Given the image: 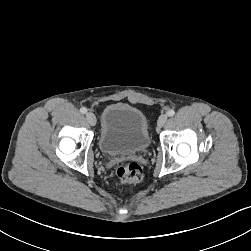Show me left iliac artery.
<instances>
[{"mask_svg":"<svg viewBox=\"0 0 251 251\" xmlns=\"http://www.w3.org/2000/svg\"><path fill=\"white\" fill-rule=\"evenodd\" d=\"M174 114H175V111H174L173 109H171V110H169V111L167 112V115H168L169 117L174 116Z\"/></svg>","mask_w":251,"mask_h":251,"instance_id":"1","label":"left iliac artery"}]
</instances>
